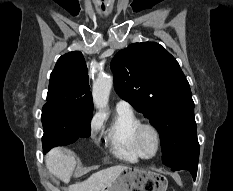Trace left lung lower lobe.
I'll return each mask as SVG.
<instances>
[{"label": "left lung lower lobe", "mask_w": 233, "mask_h": 191, "mask_svg": "<svg viewBox=\"0 0 233 191\" xmlns=\"http://www.w3.org/2000/svg\"><path fill=\"white\" fill-rule=\"evenodd\" d=\"M198 158L191 157L183 159L170 168L173 171L188 170L192 174L193 179L195 180L197 175Z\"/></svg>", "instance_id": "0a47b994"}]
</instances>
